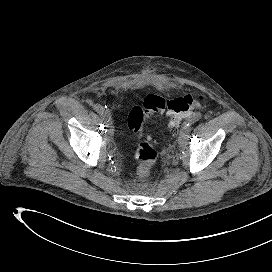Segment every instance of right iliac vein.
I'll return each instance as SVG.
<instances>
[{"label": "right iliac vein", "instance_id": "1", "mask_svg": "<svg viewBox=\"0 0 272 272\" xmlns=\"http://www.w3.org/2000/svg\"><path fill=\"white\" fill-rule=\"evenodd\" d=\"M102 116H103V118L105 120V123H106L107 127L109 128L108 129V133L110 135H112L113 134V125H112V121H111V118H110L108 112L104 111V113L102 114Z\"/></svg>", "mask_w": 272, "mask_h": 272}]
</instances>
